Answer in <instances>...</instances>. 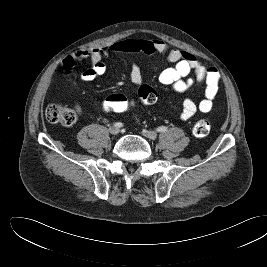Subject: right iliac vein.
Wrapping results in <instances>:
<instances>
[{
  "label": "right iliac vein",
  "instance_id": "right-iliac-vein-1",
  "mask_svg": "<svg viewBox=\"0 0 267 267\" xmlns=\"http://www.w3.org/2000/svg\"><path fill=\"white\" fill-rule=\"evenodd\" d=\"M109 132H110L112 135H117V134L120 132V130H119L118 127H116V126H112V127L109 128Z\"/></svg>",
  "mask_w": 267,
  "mask_h": 267
}]
</instances>
